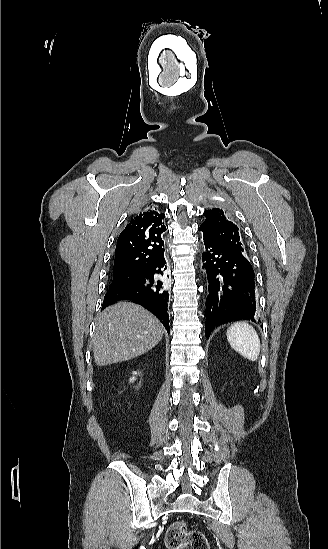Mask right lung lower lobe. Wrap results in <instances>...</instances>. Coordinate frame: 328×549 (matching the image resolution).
<instances>
[{"label": "right lung lower lobe", "mask_w": 328, "mask_h": 549, "mask_svg": "<svg viewBox=\"0 0 328 549\" xmlns=\"http://www.w3.org/2000/svg\"><path fill=\"white\" fill-rule=\"evenodd\" d=\"M165 264L163 253L136 277L109 287L102 309L119 300H132L152 312L170 333Z\"/></svg>", "instance_id": "98d812e1"}]
</instances>
